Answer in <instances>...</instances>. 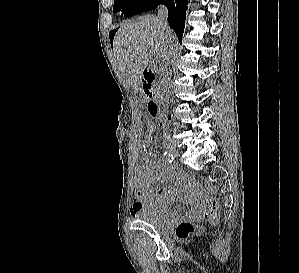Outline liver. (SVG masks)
Segmentation results:
<instances>
[{
    "label": "liver",
    "mask_w": 299,
    "mask_h": 273,
    "mask_svg": "<svg viewBox=\"0 0 299 273\" xmlns=\"http://www.w3.org/2000/svg\"><path fill=\"white\" fill-rule=\"evenodd\" d=\"M168 40L173 45V31L170 28L164 31L158 18L151 15L120 25L114 38L113 52L119 71L135 92L140 89V78L148 66V55L162 60Z\"/></svg>",
    "instance_id": "6515ba94"
}]
</instances>
